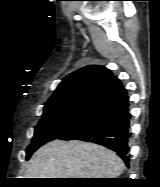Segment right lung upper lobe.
Listing matches in <instances>:
<instances>
[{"instance_id":"obj_1","label":"right lung upper lobe","mask_w":160,"mask_h":187,"mask_svg":"<svg viewBox=\"0 0 160 187\" xmlns=\"http://www.w3.org/2000/svg\"><path fill=\"white\" fill-rule=\"evenodd\" d=\"M122 88L119 79L106 67L89 65L65 77L44 108L74 102L97 104Z\"/></svg>"}]
</instances>
